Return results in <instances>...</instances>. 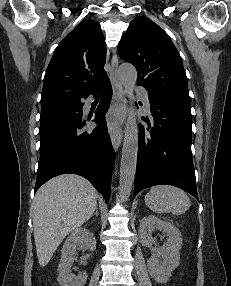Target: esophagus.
Returning a JSON list of instances; mask_svg holds the SVG:
<instances>
[{
    "instance_id": "34e87169",
    "label": "esophagus",
    "mask_w": 231,
    "mask_h": 286,
    "mask_svg": "<svg viewBox=\"0 0 231 286\" xmlns=\"http://www.w3.org/2000/svg\"><path fill=\"white\" fill-rule=\"evenodd\" d=\"M111 83L113 87V97L115 105H123L125 103L123 87L118 75V57L115 54L111 60ZM122 131H112L111 141L115 152L118 151L122 142Z\"/></svg>"
}]
</instances>
